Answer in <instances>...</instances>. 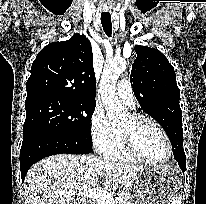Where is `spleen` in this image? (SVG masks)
Masks as SVG:
<instances>
[{
  "label": "spleen",
  "mask_w": 206,
  "mask_h": 204,
  "mask_svg": "<svg viewBox=\"0 0 206 204\" xmlns=\"http://www.w3.org/2000/svg\"><path fill=\"white\" fill-rule=\"evenodd\" d=\"M171 204H181V198L179 197V195H175V196L172 198Z\"/></svg>",
  "instance_id": "spleen-1"
}]
</instances>
